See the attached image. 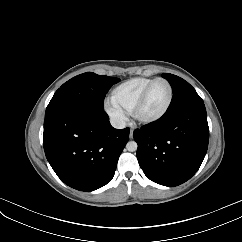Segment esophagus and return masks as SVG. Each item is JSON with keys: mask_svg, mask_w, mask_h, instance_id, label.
<instances>
[{"mask_svg": "<svg viewBox=\"0 0 242 242\" xmlns=\"http://www.w3.org/2000/svg\"><path fill=\"white\" fill-rule=\"evenodd\" d=\"M130 138L132 139L133 138V130H130Z\"/></svg>", "mask_w": 242, "mask_h": 242, "instance_id": "esophagus-1", "label": "esophagus"}]
</instances>
